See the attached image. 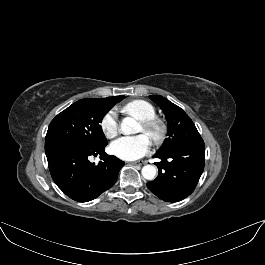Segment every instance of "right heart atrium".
<instances>
[{
    "instance_id": "d8ad5b80",
    "label": "right heart atrium",
    "mask_w": 265,
    "mask_h": 265,
    "mask_svg": "<svg viewBox=\"0 0 265 265\" xmlns=\"http://www.w3.org/2000/svg\"><path fill=\"white\" fill-rule=\"evenodd\" d=\"M100 126L108 139L114 138L119 132L117 112L113 109L107 111L100 121Z\"/></svg>"
}]
</instances>
